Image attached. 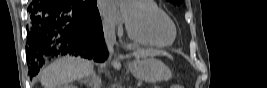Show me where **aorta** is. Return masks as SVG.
<instances>
[{
    "label": "aorta",
    "mask_w": 267,
    "mask_h": 88,
    "mask_svg": "<svg viewBox=\"0 0 267 88\" xmlns=\"http://www.w3.org/2000/svg\"><path fill=\"white\" fill-rule=\"evenodd\" d=\"M118 2L120 5H124L127 2V0H118Z\"/></svg>",
    "instance_id": "762f6f07"
}]
</instances>
